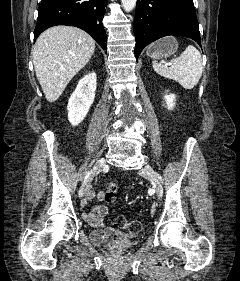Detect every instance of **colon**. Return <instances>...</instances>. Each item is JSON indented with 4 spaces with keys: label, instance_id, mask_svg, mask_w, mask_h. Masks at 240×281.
Returning <instances> with one entry per match:
<instances>
[{
    "label": "colon",
    "instance_id": "colon-1",
    "mask_svg": "<svg viewBox=\"0 0 240 281\" xmlns=\"http://www.w3.org/2000/svg\"><path fill=\"white\" fill-rule=\"evenodd\" d=\"M117 198V186L114 182H110L103 192V199L107 203L115 202ZM114 224L130 233H138L142 229V225L137 220H128L123 216L114 219Z\"/></svg>",
    "mask_w": 240,
    "mask_h": 281
}]
</instances>
